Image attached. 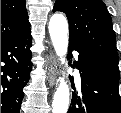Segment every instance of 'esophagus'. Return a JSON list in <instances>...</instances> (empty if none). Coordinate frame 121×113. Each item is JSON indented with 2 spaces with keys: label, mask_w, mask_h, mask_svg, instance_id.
Masks as SVG:
<instances>
[{
  "label": "esophagus",
  "mask_w": 121,
  "mask_h": 113,
  "mask_svg": "<svg viewBox=\"0 0 121 113\" xmlns=\"http://www.w3.org/2000/svg\"><path fill=\"white\" fill-rule=\"evenodd\" d=\"M48 83L53 86L56 82L57 59L54 54H50L48 61Z\"/></svg>",
  "instance_id": "esophagus-1"
}]
</instances>
